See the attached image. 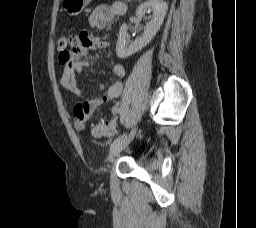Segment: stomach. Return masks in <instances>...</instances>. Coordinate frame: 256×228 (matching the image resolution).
I'll use <instances>...</instances> for the list:
<instances>
[{"label": "stomach", "instance_id": "stomach-1", "mask_svg": "<svg viewBox=\"0 0 256 228\" xmlns=\"http://www.w3.org/2000/svg\"><path fill=\"white\" fill-rule=\"evenodd\" d=\"M91 0H61L63 9L71 16L79 15Z\"/></svg>", "mask_w": 256, "mask_h": 228}]
</instances>
